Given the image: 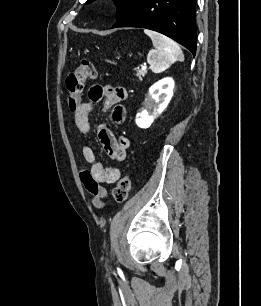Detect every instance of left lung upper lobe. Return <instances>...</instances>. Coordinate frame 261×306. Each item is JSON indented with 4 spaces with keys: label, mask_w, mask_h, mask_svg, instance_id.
<instances>
[{
    "label": "left lung upper lobe",
    "mask_w": 261,
    "mask_h": 306,
    "mask_svg": "<svg viewBox=\"0 0 261 306\" xmlns=\"http://www.w3.org/2000/svg\"><path fill=\"white\" fill-rule=\"evenodd\" d=\"M94 0H87L86 3L93 2ZM118 6L117 20L123 17L131 8L135 0H114Z\"/></svg>",
    "instance_id": "left-lung-upper-lobe-1"
}]
</instances>
